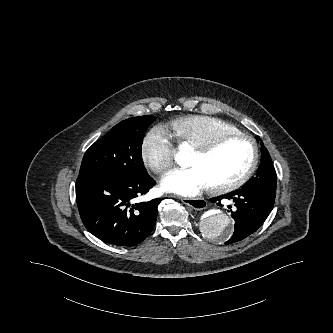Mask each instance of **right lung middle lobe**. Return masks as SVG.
Wrapping results in <instances>:
<instances>
[{
    "label": "right lung middle lobe",
    "mask_w": 333,
    "mask_h": 333,
    "mask_svg": "<svg viewBox=\"0 0 333 333\" xmlns=\"http://www.w3.org/2000/svg\"><path fill=\"white\" fill-rule=\"evenodd\" d=\"M155 119L139 116L115 125L85 152L79 176L109 174L140 178L146 175L141 148L144 132Z\"/></svg>",
    "instance_id": "1"
}]
</instances>
